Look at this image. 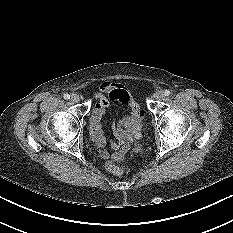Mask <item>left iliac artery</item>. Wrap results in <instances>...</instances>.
<instances>
[{
    "mask_svg": "<svg viewBox=\"0 0 233 233\" xmlns=\"http://www.w3.org/2000/svg\"><path fill=\"white\" fill-rule=\"evenodd\" d=\"M164 95H165V96H169V95H170V91H169V90H165V91H164Z\"/></svg>",
    "mask_w": 233,
    "mask_h": 233,
    "instance_id": "left-iliac-artery-1",
    "label": "left iliac artery"
}]
</instances>
